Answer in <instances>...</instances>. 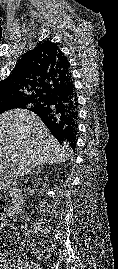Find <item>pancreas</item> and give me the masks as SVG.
Instances as JSON below:
<instances>
[{"label":"pancreas","instance_id":"1","mask_svg":"<svg viewBox=\"0 0 118 269\" xmlns=\"http://www.w3.org/2000/svg\"><path fill=\"white\" fill-rule=\"evenodd\" d=\"M3 186V184L2 183H0V189H1V187Z\"/></svg>","mask_w":118,"mask_h":269}]
</instances>
